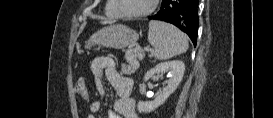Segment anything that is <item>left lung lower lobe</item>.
I'll use <instances>...</instances> for the list:
<instances>
[{
    "label": "left lung lower lobe",
    "mask_w": 273,
    "mask_h": 118,
    "mask_svg": "<svg viewBox=\"0 0 273 118\" xmlns=\"http://www.w3.org/2000/svg\"><path fill=\"white\" fill-rule=\"evenodd\" d=\"M198 0H162L160 11L151 20L169 22L184 31L196 46L198 33Z\"/></svg>",
    "instance_id": "left-lung-lower-lobe-1"
}]
</instances>
